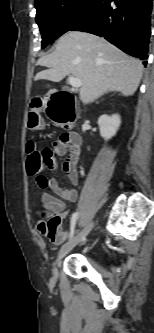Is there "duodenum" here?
I'll list each match as a JSON object with an SVG mask.
<instances>
[{
	"label": "duodenum",
	"instance_id": "410a0bca",
	"mask_svg": "<svg viewBox=\"0 0 154 333\" xmlns=\"http://www.w3.org/2000/svg\"><path fill=\"white\" fill-rule=\"evenodd\" d=\"M57 104L53 108V113L62 119L74 121L77 118L74 107V96L69 92H56Z\"/></svg>",
	"mask_w": 154,
	"mask_h": 333
}]
</instances>
